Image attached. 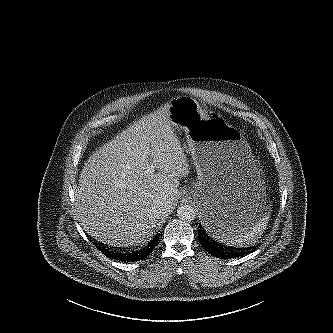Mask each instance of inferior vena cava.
<instances>
[{
  "label": "inferior vena cava",
  "instance_id": "602c4592",
  "mask_svg": "<svg viewBox=\"0 0 333 333\" xmlns=\"http://www.w3.org/2000/svg\"><path fill=\"white\" fill-rule=\"evenodd\" d=\"M166 211H167V208L164 206L163 203H160V204L157 206V208H156V213H157L158 215H160V214H164Z\"/></svg>",
  "mask_w": 333,
  "mask_h": 333
}]
</instances>
